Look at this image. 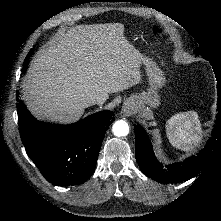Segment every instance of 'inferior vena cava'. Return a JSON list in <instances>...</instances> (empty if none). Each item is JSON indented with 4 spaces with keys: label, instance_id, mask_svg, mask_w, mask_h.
I'll use <instances>...</instances> for the list:
<instances>
[{
    "label": "inferior vena cava",
    "instance_id": "obj_1",
    "mask_svg": "<svg viewBox=\"0 0 221 221\" xmlns=\"http://www.w3.org/2000/svg\"><path fill=\"white\" fill-rule=\"evenodd\" d=\"M105 102V100L100 97V96H95V97H91L89 99L86 100V103L91 106V105H95V104H103Z\"/></svg>",
    "mask_w": 221,
    "mask_h": 221
}]
</instances>
